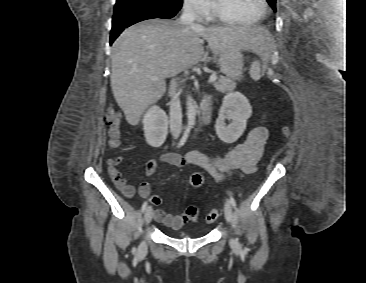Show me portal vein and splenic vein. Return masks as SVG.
<instances>
[{
    "label": "portal vein and splenic vein",
    "instance_id": "obj_1",
    "mask_svg": "<svg viewBox=\"0 0 366 283\" xmlns=\"http://www.w3.org/2000/svg\"><path fill=\"white\" fill-rule=\"evenodd\" d=\"M216 80H217V76L213 74L209 77L208 82L209 83H214Z\"/></svg>",
    "mask_w": 366,
    "mask_h": 283
}]
</instances>
